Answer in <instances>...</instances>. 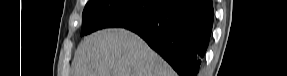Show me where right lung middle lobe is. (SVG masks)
Returning a JSON list of instances; mask_svg holds the SVG:
<instances>
[{
	"label": "right lung middle lobe",
	"mask_w": 287,
	"mask_h": 76,
	"mask_svg": "<svg viewBox=\"0 0 287 76\" xmlns=\"http://www.w3.org/2000/svg\"><path fill=\"white\" fill-rule=\"evenodd\" d=\"M164 0H91L83 11L81 36L104 28L139 25L154 15Z\"/></svg>",
	"instance_id": "obj_1"
}]
</instances>
